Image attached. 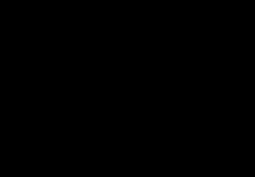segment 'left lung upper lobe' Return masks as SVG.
I'll list each match as a JSON object with an SVG mask.
<instances>
[{"mask_svg": "<svg viewBox=\"0 0 255 177\" xmlns=\"http://www.w3.org/2000/svg\"><path fill=\"white\" fill-rule=\"evenodd\" d=\"M150 42L159 51L162 65L166 66L168 53L174 47L173 42L168 37L158 35H153ZM157 82L160 86L159 104L179 110L182 104L179 88L162 75L157 77Z\"/></svg>", "mask_w": 255, "mask_h": 177, "instance_id": "obj_1", "label": "left lung upper lobe"}]
</instances>
